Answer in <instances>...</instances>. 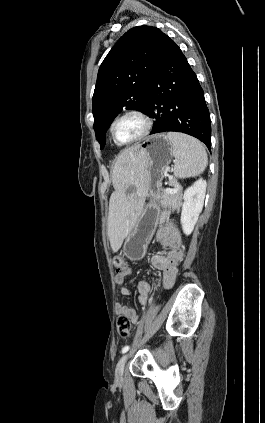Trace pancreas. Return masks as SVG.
I'll return each instance as SVG.
<instances>
[{"mask_svg": "<svg viewBox=\"0 0 265 423\" xmlns=\"http://www.w3.org/2000/svg\"><path fill=\"white\" fill-rule=\"evenodd\" d=\"M171 185L177 188L176 193H170L164 190L159 199V205L163 208L161 212V220H165L171 211H178L181 204V190L176 182H171Z\"/></svg>", "mask_w": 265, "mask_h": 423, "instance_id": "pancreas-1", "label": "pancreas"}]
</instances>
